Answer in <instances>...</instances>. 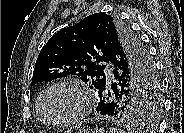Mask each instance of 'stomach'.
<instances>
[{
  "mask_svg": "<svg viewBox=\"0 0 184 133\" xmlns=\"http://www.w3.org/2000/svg\"><path fill=\"white\" fill-rule=\"evenodd\" d=\"M80 133H88V131H83V132H80Z\"/></svg>",
  "mask_w": 184,
  "mask_h": 133,
  "instance_id": "obj_1",
  "label": "stomach"
}]
</instances>
